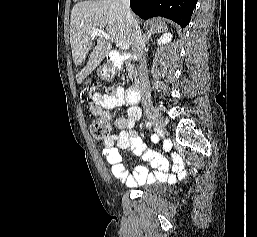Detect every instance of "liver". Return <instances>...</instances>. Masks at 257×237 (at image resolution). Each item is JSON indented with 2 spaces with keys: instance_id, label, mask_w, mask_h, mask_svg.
<instances>
[{
  "instance_id": "liver-1",
  "label": "liver",
  "mask_w": 257,
  "mask_h": 237,
  "mask_svg": "<svg viewBox=\"0 0 257 237\" xmlns=\"http://www.w3.org/2000/svg\"><path fill=\"white\" fill-rule=\"evenodd\" d=\"M92 29L106 30L113 42L133 44L130 27L124 19L119 0L84 1L74 5L70 16V43L76 65V80L80 84L103 61L112 45L103 37L91 38ZM151 30L166 31L162 20L151 24ZM88 56V61L86 62Z\"/></svg>"
}]
</instances>
